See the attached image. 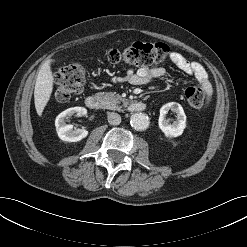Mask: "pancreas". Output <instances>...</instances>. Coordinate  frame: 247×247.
<instances>
[{"label": "pancreas", "mask_w": 247, "mask_h": 247, "mask_svg": "<svg viewBox=\"0 0 247 247\" xmlns=\"http://www.w3.org/2000/svg\"><path fill=\"white\" fill-rule=\"evenodd\" d=\"M98 96L101 98L103 105L105 108L110 110H121L122 106H127L129 104V101L125 98H122L121 95L116 94L114 92H100L98 93ZM123 103V105H119L120 103Z\"/></svg>", "instance_id": "1"}]
</instances>
